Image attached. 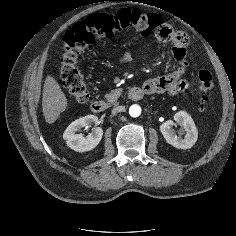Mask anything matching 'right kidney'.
Listing matches in <instances>:
<instances>
[{
    "label": "right kidney",
    "instance_id": "obj_1",
    "mask_svg": "<svg viewBox=\"0 0 236 236\" xmlns=\"http://www.w3.org/2000/svg\"><path fill=\"white\" fill-rule=\"evenodd\" d=\"M98 123V117L95 115H87L72 122L63 134V139L67 146L76 152H85L94 149L101 141L103 130L100 127L93 129L87 136L77 134L83 127Z\"/></svg>",
    "mask_w": 236,
    "mask_h": 236
}]
</instances>
